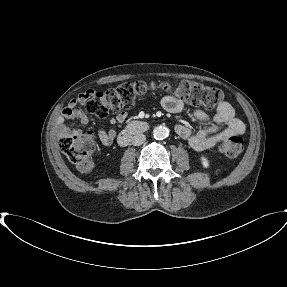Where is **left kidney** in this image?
Instances as JSON below:
<instances>
[{
  "mask_svg": "<svg viewBox=\"0 0 287 287\" xmlns=\"http://www.w3.org/2000/svg\"><path fill=\"white\" fill-rule=\"evenodd\" d=\"M201 163L203 167L208 168L209 167V161L205 156L200 157Z\"/></svg>",
  "mask_w": 287,
  "mask_h": 287,
  "instance_id": "obj_1",
  "label": "left kidney"
}]
</instances>
